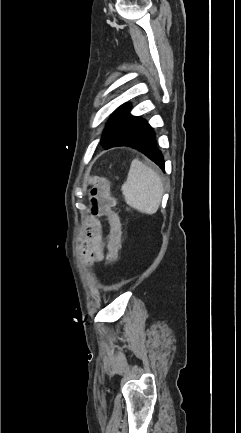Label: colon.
Wrapping results in <instances>:
<instances>
[{
	"mask_svg": "<svg viewBox=\"0 0 241 433\" xmlns=\"http://www.w3.org/2000/svg\"><path fill=\"white\" fill-rule=\"evenodd\" d=\"M92 181V178H89ZM92 211L107 218L110 225L108 243V264L116 263L120 253L121 226L118 216L113 212L115 200L110 192V184L106 180H98L91 191Z\"/></svg>",
	"mask_w": 241,
	"mask_h": 433,
	"instance_id": "obj_1",
	"label": "colon"
}]
</instances>
